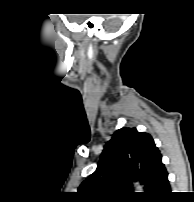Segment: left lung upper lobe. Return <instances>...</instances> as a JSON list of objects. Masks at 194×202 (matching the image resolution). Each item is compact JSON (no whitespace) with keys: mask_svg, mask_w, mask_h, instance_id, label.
Returning <instances> with one entry per match:
<instances>
[{"mask_svg":"<svg viewBox=\"0 0 194 202\" xmlns=\"http://www.w3.org/2000/svg\"><path fill=\"white\" fill-rule=\"evenodd\" d=\"M164 164L150 134L121 128L107 142L96 171L79 187L89 202H119L134 196L131 181L140 180L151 197Z\"/></svg>","mask_w":194,"mask_h":202,"instance_id":"left-lung-upper-lobe-1","label":"left lung upper lobe"}]
</instances>
